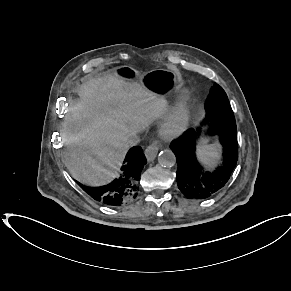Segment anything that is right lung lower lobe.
<instances>
[{
	"label": "right lung lower lobe",
	"mask_w": 291,
	"mask_h": 291,
	"mask_svg": "<svg viewBox=\"0 0 291 291\" xmlns=\"http://www.w3.org/2000/svg\"><path fill=\"white\" fill-rule=\"evenodd\" d=\"M146 163L142 148L135 146L126 155L121 175L111 183L101 187H88L76 182L97 202L117 207L131 202L138 195L140 174Z\"/></svg>",
	"instance_id": "right-lung-lower-lobe-1"
}]
</instances>
